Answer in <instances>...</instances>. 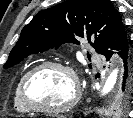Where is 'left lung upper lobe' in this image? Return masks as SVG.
<instances>
[{
    "label": "left lung upper lobe",
    "mask_w": 133,
    "mask_h": 118,
    "mask_svg": "<svg viewBox=\"0 0 133 118\" xmlns=\"http://www.w3.org/2000/svg\"><path fill=\"white\" fill-rule=\"evenodd\" d=\"M123 24L118 11L108 0H67L39 12L20 34L4 68L12 67L30 54L44 52L64 43L79 44L86 38L101 53L113 33ZM131 90L117 89L106 113L122 116L127 112Z\"/></svg>",
    "instance_id": "1"
}]
</instances>
